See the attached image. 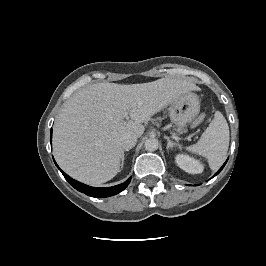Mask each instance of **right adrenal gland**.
Here are the masks:
<instances>
[{"label": "right adrenal gland", "instance_id": "1", "mask_svg": "<svg viewBox=\"0 0 266 266\" xmlns=\"http://www.w3.org/2000/svg\"><path fill=\"white\" fill-rule=\"evenodd\" d=\"M125 151H129V150L127 149ZM123 165H124V154L122 155L120 170L123 168Z\"/></svg>", "mask_w": 266, "mask_h": 266}]
</instances>
